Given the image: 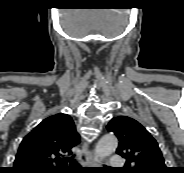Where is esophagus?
I'll list each match as a JSON object with an SVG mask.
<instances>
[{"mask_svg":"<svg viewBox=\"0 0 184 173\" xmlns=\"http://www.w3.org/2000/svg\"><path fill=\"white\" fill-rule=\"evenodd\" d=\"M94 151L89 149L86 143L83 144L81 153L79 155V161L82 166H91L93 164Z\"/></svg>","mask_w":184,"mask_h":173,"instance_id":"34e87169","label":"esophagus"}]
</instances>
